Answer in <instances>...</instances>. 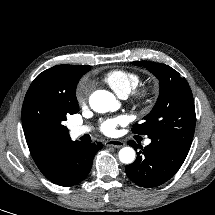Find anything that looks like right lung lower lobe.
I'll list each match as a JSON object with an SVG mask.
<instances>
[{
    "label": "right lung lower lobe",
    "mask_w": 215,
    "mask_h": 215,
    "mask_svg": "<svg viewBox=\"0 0 215 215\" xmlns=\"http://www.w3.org/2000/svg\"><path fill=\"white\" fill-rule=\"evenodd\" d=\"M101 148L100 142L86 144L72 141L61 153L56 174L48 179L64 187L78 184L90 172L93 158Z\"/></svg>",
    "instance_id": "98d812e1"
}]
</instances>
